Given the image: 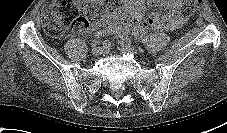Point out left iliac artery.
I'll return each mask as SVG.
<instances>
[{"label": "left iliac artery", "instance_id": "44dca946", "mask_svg": "<svg viewBox=\"0 0 227 133\" xmlns=\"http://www.w3.org/2000/svg\"><path fill=\"white\" fill-rule=\"evenodd\" d=\"M146 40H147V39H146ZM122 42H124V43H126V44H131V43H132V41H131L130 38H124V39L122 40Z\"/></svg>", "mask_w": 227, "mask_h": 133}]
</instances>
